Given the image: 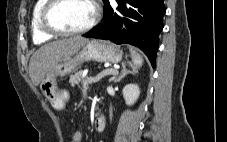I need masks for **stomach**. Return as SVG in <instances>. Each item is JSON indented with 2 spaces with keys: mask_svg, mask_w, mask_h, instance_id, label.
Instances as JSON below:
<instances>
[{
  "mask_svg": "<svg viewBox=\"0 0 227 142\" xmlns=\"http://www.w3.org/2000/svg\"><path fill=\"white\" fill-rule=\"evenodd\" d=\"M123 52L115 45L92 40L74 56L59 62L40 83L42 94L49 100L56 109H62L69 94L66 90H59L57 77H64L70 74L78 65L84 61L94 60L98 62L119 63L122 60Z\"/></svg>",
  "mask_w": 227,
  "mask_h": 142,
  "instance_id": "stomach-1",
  "label": "stomach"
}]
</instances>
